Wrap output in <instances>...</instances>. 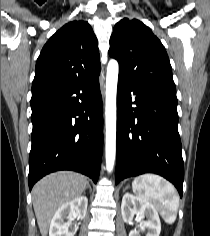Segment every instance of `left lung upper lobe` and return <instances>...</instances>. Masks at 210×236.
Wrapping results in <instances>:
<instances>
[{
  "mask_svg": "<svg viewBox=\"0 0 210 236\" xmlns=\"http://www.w3.org/2000/svg\"><path fill=\"white\" fill-rule=\"evenodd\" d=\"M109 54L119 62V78L135 86L176 91L166 50L142 22L119 21L110 38Z\"/></svg>",
  "mask_w": 210,
  "mask_h": 236,
  "instance_id": "1",
  "label": "left lung upper lobe"
}]
</instances>
